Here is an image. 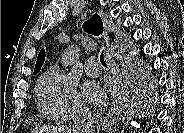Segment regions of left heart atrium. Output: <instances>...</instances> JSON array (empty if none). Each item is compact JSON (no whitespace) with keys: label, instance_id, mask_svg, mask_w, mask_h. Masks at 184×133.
<instances>
[{"label":"left heart atrium","instance_id":"39dd6f15","mask_svg":"<svg viewBox=\"0 0 184 133\" xmlns=\"http://www.w3.org/2000/svg\"><path fill=\"white\" fill-rule=\"evenodd\" d=\"M82 95L87 101L95 104L101 103L104 98L99 85L93 81H87L83 84Z\"/></svg>","mask_w":184,"mask_h":133}]
</instances>
